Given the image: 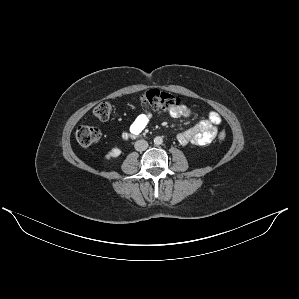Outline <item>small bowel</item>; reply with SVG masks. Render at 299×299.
<instances>
[{
    "label": "small bowel",
    "instance_id": "obj_1",
    "mask_svg": "<svg viewBox=\"0 0 299 299\" xmlns=\"http://www.w3.org/2000/svg\"><path fill=\"white\" fill-rule=\"evenodd\" d=\"M193 114L192 109L187 105H180L170 111L175 118L188 117ZM152 114L142 113L136 116L129 126V132L133 135L140 134L149 124ZM222 119L216 112H209L205 118L200 120L193 127L179 133L177 140L181 145L205 146L210 144L217 134V126Z\"/></svg>",
    "mask_w": 299,
    "mask_h": 299
}]
</instances>
